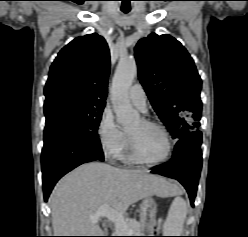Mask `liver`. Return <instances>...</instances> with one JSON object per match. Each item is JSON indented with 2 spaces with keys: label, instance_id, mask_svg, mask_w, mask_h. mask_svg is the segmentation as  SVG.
Here are the masks:
<instances>
[{
  "label": "liver",
  "instance_id": "liver-1",
  "mask_svg": "<svg viewBox=\"0 0 248 237\" xmlns=\"http://www.w3.org/2000/svg\"><path fill=\"white\" fill-rule=\"evenodd\" d=\"M177 187L143 170L104 163H87L64 176L50 196L54 236H102L90 216L107 204L124 214L130 205L149 196L175 194Z\"/></svg>",
  "mask_w": 248,
  "mask_h": 237
}]
</instances>
